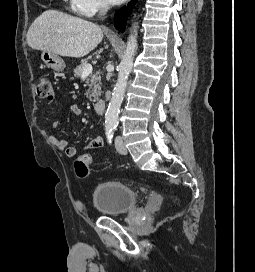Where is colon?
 <instances>
[{"instance_id":"obj_1","label":"colon","mask_w":255,"mask_h":272,"mask_svg":"<svg viewBox=\"0 0 255 272\" xmlns=\"http://www.w3.org/2000/svg\"><path fill=\"white\" fill-rule=\"evenodd\" d=\"M37 94L40 98H53L52 79L48 76L42 77L37 85ZM90 158L89 156H82L75 162L76 173L80 177H86L89 173Z\"/></svg>"}]
</instances>
